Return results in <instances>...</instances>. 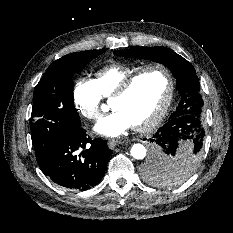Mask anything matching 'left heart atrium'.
Segmentation results:
<instances>
[{
  "mask_svg": "<svg viewBox=\"0 0 233 233\" xmlns=\"http://www.w3.org/2000/svg\"><path fill=\"white\" fill-rule=\"evenodd\" d=\"M132 126V122L122 111L114 110L112 113L101 118L94 126V130L103 136L116 137L123 134Z\"/></svg>",
  "mask_w": 233,
  "mask_h": 233,
  "instance_id": "left-heart-atrium-1",
  "label": "left heart atrium"
}]
</instances>
